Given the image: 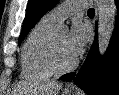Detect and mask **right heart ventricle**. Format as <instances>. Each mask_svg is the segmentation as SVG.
I'll use <instances>...</instances> for the list:
<instances>
[{
    "label": "right heart ventricle",
    "mask_w": 119,
    "mask_h": 95,
    "mask_svg": "<svg viewBox=\"0 0 119 95\" xmlns=\"http://www.w3.org/2000/svg\"><path fill=\"white\" fill-rule=\"evenodd\" d=\"M56 25L45 16L29 33L20 55L23 78L48 79L54 74L48 64L47 49Z\"/></svg>",
    "instance_id": "e07e8e85"
}]
</instances>
